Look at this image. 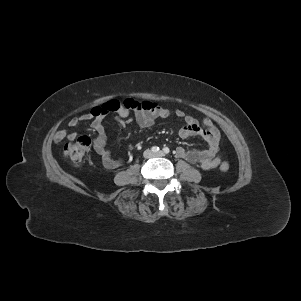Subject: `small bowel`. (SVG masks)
<instances>
[{
  "instance_id": "small-bowel-1",
  "label": "small bowel",
  "mask_w": 301,
  "mask_h": 301,
  "mask_svg": "<svg viewBox=\"0 0 301 301\" xmlns=\"http://www.w3.org/2000/svg\"><path fill=\"white\" fill-rule=\"evenodd\" d=\"M132 101V100H128ZM148 105H154L151 108L131 109L129 107L122 108L117 112L115 119L121 125H129L134 120L141 128H150L157 119L168 118L171 112L155 102L145 101ZM135 112V118L131 117V112ZM175 116L183 121V125L179 130V136L182 139L197 136L202 138L208 145L205 150H191L184 147H178L176 154L178 157L192 163L198 164L204 170L216 168L220 164V158L217 156L219 151L221 135L215 127L212 120L206 118L202 125L192 116L187 115L182 110H176ZM91 120V127L96 133L93 142L94 150L100 156L102 164L107 169H115L122 162L113 158L110 151L107 149L108 138L104 125V114L94 115L92 111L83 114L79 117H74L69 121L71 128H78L82 124ZM55 140L60 142L66 138L74 140L76 133H68L67 130L61 129L55 133Z\"/></svg>"
}]
</instances>
